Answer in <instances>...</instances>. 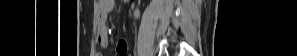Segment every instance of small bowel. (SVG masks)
<instances>
[{
	"instance_id": "small-bowel-1",
	"label": "small bowel",
	"mask_w": 297,
	"mask_h": 56,
	"mask_svg": "<svg viewBox=\"0 0 297 56\" xmlns=\"http://www.w3.org/2000/svg\"><path fill=\"white\" fill-rule=\"evenodd\" d=\"M115 5L114 0H100L99 10H100V21L98 27V42L102 47H107L109 45L108 37V27H107V16L113 10ZM127 43L124 40L118 42L116 47L117 56H126L127 53ZM100 54H97L99 56Z\"/></svg>"
}]
</instances>
